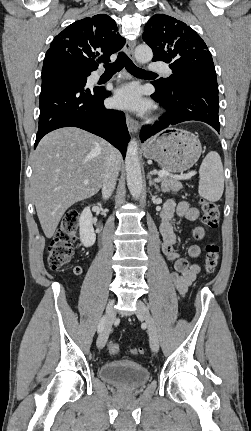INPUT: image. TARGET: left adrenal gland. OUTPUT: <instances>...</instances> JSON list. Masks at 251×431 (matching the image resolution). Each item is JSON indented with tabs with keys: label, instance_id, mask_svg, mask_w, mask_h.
<instances>
[{
	"label": "left adrenal gland",
	"instance_id": "a2214340",
	"mask_svg": "<svg viewBox=\"0 0 251 431\" xmlns=\"http://www.w3.org/2000/svg\"><path fill=\"white\" fill-rule=\"evenodd\" d=\"M148 179H149V186H154L155 187V189L157 190V191H159L160 189H159V186L157 185V183L152 179V177H151V172L150 173H148Z\"/></svg>",
	"mask_w": 251,
	"mask_h": 431
}]
</instances>
